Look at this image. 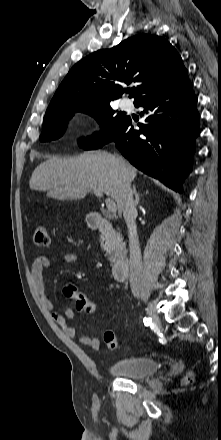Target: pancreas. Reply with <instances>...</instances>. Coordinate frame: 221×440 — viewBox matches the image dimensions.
<instances>
[{
    "mask_svg": "<svg viewBox=\"0 0 221 440\" xmlns=\"http://www.w3.org/2000/svg\"><path fill=\"white\" fill-rule=\"evenodd\" d=\"M118 238H120V234L117 233L116 234ZM105 240L104 236H101V241H102V246H103V241ZM115 253L117 254V259L120 260L125 254V248L124 245L122 244V242H118L114 247H113Z\"/></svg>",
    "mask_w": 221,
    "mask_h": 440,
    "instance_id": "cf45deb5",
    "label": "pancreas"
}]
</instances>
